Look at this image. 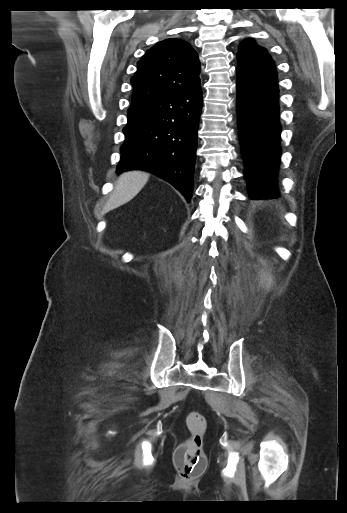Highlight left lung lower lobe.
I'll list each match as a JSON object with an SVG mask.
<instances>
[{
  "instance_id": "0a47b994",
  "label": "left lung lower lobe",
  "mask_w": 347,
  "mask_h": 513,
  "mask_svg": "<svg viewBox=\"0 0 347 513\" xmlns=\"http://www.w3.org/2000/svg\"><path fill=\"white\" fill-rule=\"evenodd\" d=\"M238 60V123L250 198H277L281 126L276 68L273 63Z\"/></svg>"
}]
</instances>
